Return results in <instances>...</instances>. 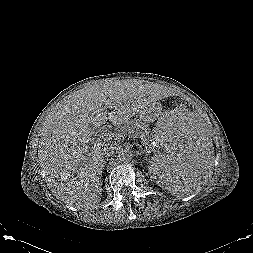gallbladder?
<instances>
[{"instance_id": "obj_1", "label": "gallbladder", "mask_w": 253, "mask_h": 253, "mask_svg": "<svg viewBox=\"0 0 253 253\" xmlns=\"http://www.w3.org/2000/svg\"><path fill=\"white\" fill-rule=\"evenodd\" d=\"M96 129V127H93V130H95ZM93 133H94V131H93Z\"/></svg>"}]
</instances>
